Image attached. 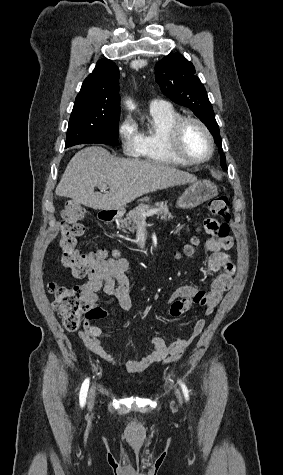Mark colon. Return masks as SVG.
<instances>
[{
  "label": "colon",
  "mask_w": 283,
  "mask_h": 475,
  "mask_svg": "<svg viewBox=\"0 0 283 475\" xmlns=\"http://www.w3.org/2000/svg\"><path fill=\"white\" fill-rule=\"evenodd\" d=\"M208 211L217 215L219 224H228L230 221L229 200L225 195L210 199L207 203ZM86 208L74 201H67L61 210V237L59 240L60 260L63 266L69 269L76 278H84L94 273L105 262L106 255L100 250L81 251L78 239L83 235V220L86 218ZM228 233H219L217 239H226ZM196 250V239L187 244L184 251L193 254ZM50 293L54 297L53 310L63 319V325L69 332H76L82 322V316L88 309L82 289L78 285L50 284ZM190 298L180 300L170 306L171 316L186 314L190 308Z\"/></svg>",
  "instance_id": "5ec220e1"
}]
</instances>
